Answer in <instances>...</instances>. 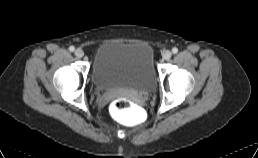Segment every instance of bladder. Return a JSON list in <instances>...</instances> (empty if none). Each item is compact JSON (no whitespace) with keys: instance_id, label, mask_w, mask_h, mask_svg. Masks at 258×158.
<instances>
[{"instance_id":"1","label":"bladder","mask_w":258,"mask_h":158,"mask_svg":"<svg viewBox=\"0 0 258 158\" xmlns=\"http://www.w3.org/2000/svg\"><path fill=\"white\" fill-rule=\"evenodd\" d=\"M92 81L101 90L125 88L152 92L156 71L151 46L146 43H102L93 58Z\"/></svg>"}]
</instances>
